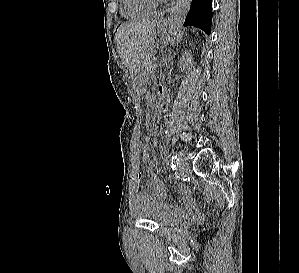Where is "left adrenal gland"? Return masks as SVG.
Wrapping results in <instances>:
<instances>
[{
	"label": "left adrenal gland",
	"mask_w": 299,
	"mask_h": 273,
	"mask_svg": "<svg viewBox=\"0 0 299 273\" xmlns=\"http://www.w3.org/2000/svg\"><path fill=\"white\" fill-rule=\"evenodd\" d=\"M171 59H172V57L166 56L163 65L168 68L170 65L169 62L171 61Z\"/></svg>",
	"instance_id": "a2214340"
}]
</instances>
